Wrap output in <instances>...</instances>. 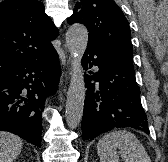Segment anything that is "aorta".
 <instances>
[{"label": "aorta", "instance_id": "762f6f07", "mask_svg": "<svg viewBox=\"0 0 168 162\" xmlns=\"http://www.w3.org/2000/svg\"><path fill=\"white\" fill-rule=\"evenodd\" d=\"M88 43V31L82 24L72 25L66 33V44L73 57V70L66 100V122L76 128L83 115L85 100L84 72L81 59Z\"/></svg>", "mask_w": 168, "mask_h": 162}]
</instances>
